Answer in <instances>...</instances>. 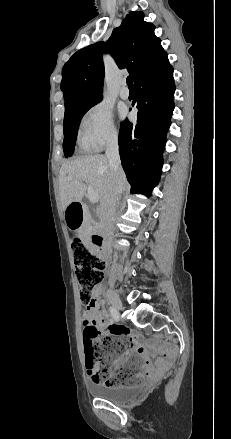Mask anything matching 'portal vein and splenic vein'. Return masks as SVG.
<instances>
[{"label": "portal vein and splenic vein", "mask_w": 231, "mask_h": 439, "mask_svg": "<svg viewBox=\"0 0 231 439\" xmlns=\"http://www.w3.org/2000/svg\"><path fill=\"white\" fill-rule=\"evenodd\" d=\"M76 183L78 184L79 182L76 181ZM88 198L90 200V202L92 203H96L99 200V195L94 191V189L91 186H88Z\"/></svg>", "instance_id": "portal-vein-and-splenic-vein-1"}]
</instances>
